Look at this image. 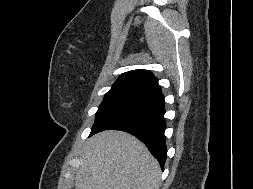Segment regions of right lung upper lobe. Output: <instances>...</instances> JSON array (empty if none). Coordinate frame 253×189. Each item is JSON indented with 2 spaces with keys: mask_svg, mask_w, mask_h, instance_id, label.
Listing matches in <instances>:
<instances>
[{
  "mask_svg": "<svg viewBox=\"0 0 253 189\" xmlns=\"http://www.w3.org/2000/svg\"><path fill=\"white\" fill-rule=\"evenodd\" d=\"M112 88H128L151 93L160 89L157 79L148 70H132L122 74Z\"/></svg>",
  "mask_w": 253,
  "mask_h": 189,
  "instance_id": "1",
  "label": "right lung upper lobe"
}]
</instances>
